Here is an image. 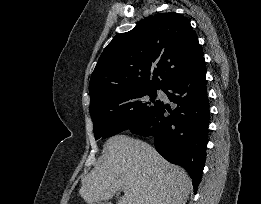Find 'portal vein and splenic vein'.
<instances>
[{"instance_id":"1","label":"portal vein and splenic vein","mask_w":261,"mask_h":204,"mask_svg":"<svg viewBox=\"0 0 261 204\" xmlns=\"http://www.w3.org/2000/svg\"><path fill=\"white\" fill-rule=\"evenodd\" d=\"M123 189H124V190H127V189H128V186H124Z\"/></svg>"}]
</instances>
